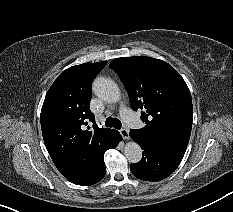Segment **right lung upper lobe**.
Segmentation results:
<instances>
[{
	"label": "right lung upper lobe",
	"instance_id": "obj_1",
	"mask_svg": "<svg viewBox=\"0 0 233 212\" xmlns=\"http://www.w3.org/2000/svg\"><path fill=\"white\" fill-rule=\"evenodd\" d=\"M106 64L84 63L66 69L49 88L42 106L46 148L60 173L74 184L93 174L99 154L114 131L99 128L89 108L92 82ZM88 121L93 122L92 128Z\"/></svg>",
	"mask_w": 233,
	"mask_h": 212
}]
</instances>
